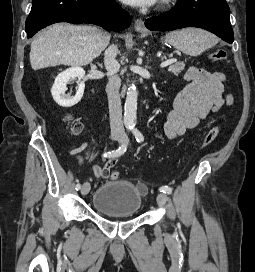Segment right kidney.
Returning a JSON list of instances; mask_svg holds the SVG:
<instances>
[{
    "instance_id": "right-kidney-1",
    "label": "right kidney",
    "mask_w": 255,
    "mask_h": 272,
    "mask_svg": "<svg viewBox=\"0 0 255 272\" xmlns=\"http://www.w3.org/2000/svg\"><path fill=\"white\" fill-rule=\"evenodd\" d=\"M84 75L85 71L81 67H72L58 74L52 86L51 94L59 106L69 108L76 105L82 99L85 89ZM75 79H78V89L75 96L66 95L67 83Z\"/></svg>"
}]
</instances>
